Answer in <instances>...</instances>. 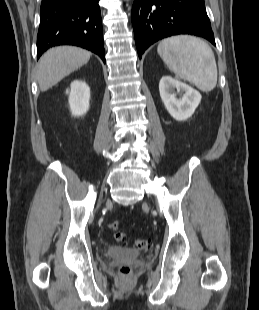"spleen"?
I'll return each instance as SVG.
<instances>
[{"mask_svg": "<svg viewBox=\"0 0 259 310\" xmlns=\"http://www.w3.org/2000/svg\"><path fill=\"white\" fill-rule=\"evenodd\" d=\"M157 52L167 67L181 79L204 92L217 84V65L211 47L200 38L179 35L162 40Z\"/></svg>", "mask_w": 259, "mask_h": 310, "instance_id": "spleen-1", "label": "spleen"}]
</instances>
